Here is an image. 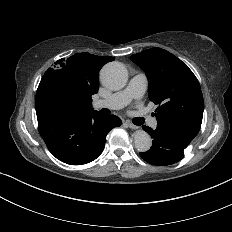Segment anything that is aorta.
I'll return each mask as SVG.
<instances>
[{
  "label": "aorta",
  "mask_w": 232,
  "mask_h": 232,
  "mask_svg": "<svg viewBox=\"0 0 232 232\" xmlns=\"http://www.w3.org/2000/svg\"><path fill=\"white\" fill-rule=\"evenodd\" d=\"M101 83L110 90L117 91L127 84L128 73L123 64L110 62L100 71ZM134 144L139 152H146L152 145L151 137L144 130L134 132Z\"/></svg>",
  "instance_id": "obj_1"
}]
</instances>
